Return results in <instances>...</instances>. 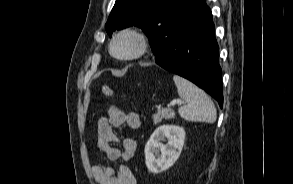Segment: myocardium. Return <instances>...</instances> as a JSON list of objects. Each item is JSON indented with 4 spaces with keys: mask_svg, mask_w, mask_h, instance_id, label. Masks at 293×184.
<instances>
[{
    "mask_svg": "<svg viewBox=\"0 0 293 184\" xmlns=\"http://www.w3.org/2000/svg\"><path fill=\"white\" fill-rule=\"evenodd\" d=\"M124 35H130L137 42V49L129 55H118L114 50L115 42ZM150 40L147 34L137 27H126L118 31L110 41L109 51L111 55L121 61H133L143 57L149 50Z\"/></svg>",
    "mask_w": 293,
    "mask_h": 184,
    "instance_id": "1",
    "label": "myocardium"
}]
</instances>
